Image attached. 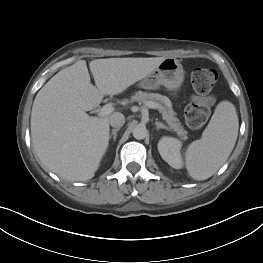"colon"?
I'll list each match as a JSON object with an SVG mask.
<instances>
[{
	"instance_id": "1",
	"label": "colon",
	"mask_w": 263,
	"mask_h": 263,
	"mask_svg": "<svg viewBox=\"0 0 263 263\" xmlns=\"http://www.w3.org/2000/svg\"><path fill=\"white\" fill-rule=\"evenodd\" d=\"M216 81L217 72L214 69L196 68L192 71V86L200 98L186 109V121L191 128H200L206 123L210 113L208 95Z\"/></svg>"
}]
</instances>
